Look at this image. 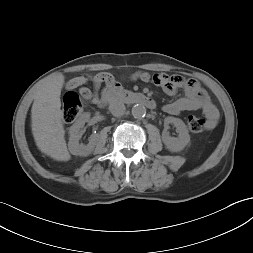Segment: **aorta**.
I'll list each match as a JSON object with an SVG mask.
<instances>
[{
	"mask_svg": "<svg viewBox=\"0 0 253 253\" xmlns=\"http://www.w3.org/2000/svg\"><path fill=\"white\" fill-rule=\"evenodd\" d=\"M132 115L136 118L144 117L146 114V108L142 104H135L132 107Z\"/></svg>",
	"mask_w": 253,
	"mask_h": 253,
	"instance_id": "762f6f07",
	"label": "aorta"
}]
</instances>
